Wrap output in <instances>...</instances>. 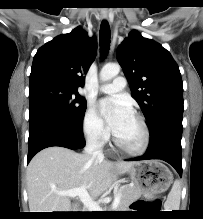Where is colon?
I'll return each mask as SVG.
<instances>
[{"instance_id": "obj_1", "label": "colon", "mask_w": 203, "mask_h": 219, "mask_svg": "<svg viewBox=\"0 0 203 219\" xmlns=\"http://www.w3.org/2000/svg\"><path fill=\"white\" fill-rule=\"evenodd\" d=\"M160 205H161V202L160 200L156 199L154 201H152L150 204H149V207L153 210L155 209H159L160 208Z\"/></svg>"}]
</instances>
